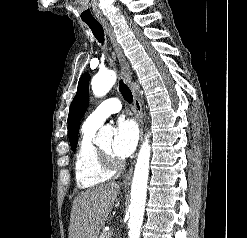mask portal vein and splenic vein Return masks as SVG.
Returning <instances> with one entry per match:
<instances>
[{
	"mask_svg": "<svg viewBox=\"0 0 247 238\" xmlns=\"http://www.w3.org/2000/svg\"><path fill=\"white\" fill-rule=\"evenodd\" d=\"M110 234L113 235V231H110Z\"/></svg>",
	"mask_w": 247,
	"mask_h": 238,
	"instance_id": "portal-vein-and-splenic-vein-1",
	"label": "portal vein and splenic vein"
}]
</instances>
